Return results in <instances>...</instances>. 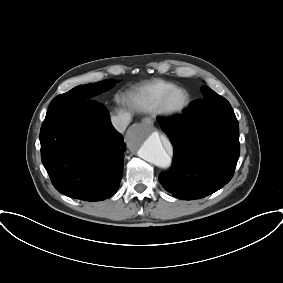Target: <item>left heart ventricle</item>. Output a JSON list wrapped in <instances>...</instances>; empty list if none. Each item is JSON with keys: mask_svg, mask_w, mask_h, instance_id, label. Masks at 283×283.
Listing matches in <instances>:
<instances>
[{"mask_svg": "<svg viewBox=\"0 0 283 283\" xmlns=\"http://www.w3.org/2000/svg\"><path fill=\"white\" fill-rule=\"evenodd\" d=\"M182 100V96L181 95H177L173 98V102L174 103H179Z\"/></svg>", "mask_w": 283, "mask_h": 283, "instance_id": "left-heart-ventricle-1", "label": "left heart ventricle"}]
</instances>
